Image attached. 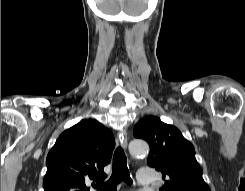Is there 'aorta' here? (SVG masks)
Masks as SVG:
<instances>
[{"label":"aorta","mask_w":245,"mask_h":191,"mask_svg":"<svg viewBox=\"0 0 245 191\" xmlns=\"http://www.w3.org/2000/svg\"><path fill=\"white\" fill-rule=\"evenodd\" d=\"M129 152L133 157H144L149 152L148 144L143 140H133L129 143Z\"/></svg>","instance_id":"762f6f07"}]
</instances>
